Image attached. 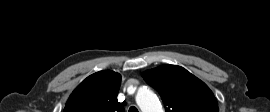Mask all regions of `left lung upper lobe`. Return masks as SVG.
<instances>
[{"label":"left lung upper lobe","instance_id":"1","mask_svg":"<svg viewBox=\"0 0 270 112\" xmlns=\"http://www.w3.org/2000/svg\"><path fill=\"white\" fill-rule=\"evenodd\" d=\"M143 77L159 92L166 112H219L209 87L180 66L162 65Z\"/></svg>","mask_w":270,"mask_h":112}]
</instances>
